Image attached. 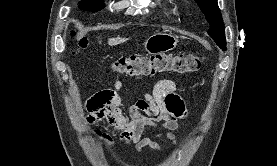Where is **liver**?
<instances>
[{"instance_id":"liver-1","label":"liver","mask_w":277,"mask_h":166,"mask_svg":"<svg viewBox=\"0 0 277 166\" xmlns=\"http://www.w3.org/2000/svg\"><path fill=\"white\" fill-rule=\"evenodd\" d=\"M125 41H127V39L121 38V37L110 38V39H108V44L110 46H115V45L124 43Z\"/></svg>"}]
</instances>
